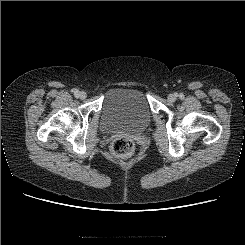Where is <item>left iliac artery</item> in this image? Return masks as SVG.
Masks as SVG:
<instances>
[{"label":"left iliac artery","instance_id":"left-iliac-artery-1","mask_svg":"<svg viewBox=\"0 0 245 245\" xmlns=\"http://www.w3.org/2000/svg\"><path fill=\"white\" fill-rule=\"evenodd\" d=\"M180 98H183V95L182 94H180Z\"/></svg>","mask_w":245,"mask_h":245}]
</instances>
